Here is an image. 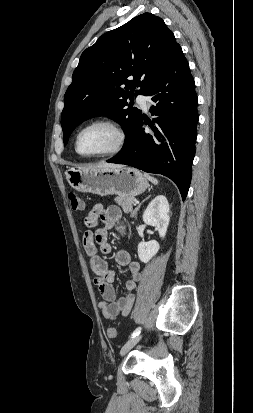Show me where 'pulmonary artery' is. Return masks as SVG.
I'll return each instance as SVG.
<instances>
[{
  "instance_id": "obj_1",
  "label": "pulmonary artery",
  "mask_w": 253,
  "mask_h": 413,
  "mask_svg": "<svg viewBox=\"0 0 253 413\" xmlns=\"http://www.w3.org/2000/svg\"><path fill=\"white\" fill-rule=\"evenodd\" d=\"M137 102L144 110L148 109V107H149V98L146 97L145 95L139 94L137 96Z\"/></svg>"
}]
</instances>
